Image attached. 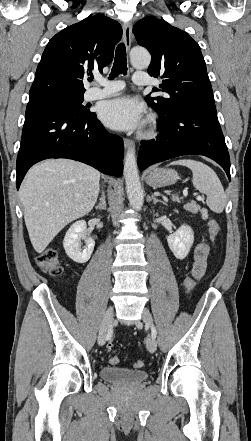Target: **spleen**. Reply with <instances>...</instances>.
<instances>
[{"mask_svg": "<svg viewBox=\"0 0 251 441\" xmlns=\"http://www.w3.org/2000/svg\"><path fill=\"white\" fill-rule=\"evenodd\" d=\"M169 165H182L191 169L193 174L192 183L197 190L206 194L207 206L216 213H221L224 210L226 203L224 189L211 167L193 159H179ZM172 199L175 201L177 197L173 195Z\"/></svg>", "mask_w": 251, "mask_h": 441, "instance_id": "1", "label": "spleen"}]
</instances>
